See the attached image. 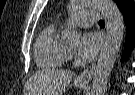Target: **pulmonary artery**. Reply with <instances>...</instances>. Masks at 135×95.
Wrapping results in <instances>:
<instances>
[{"instance_id":"pulmonary-artery-1","label":"pulmonary artery","mask_w":135,"mask_h":95,"mask_svg":"<svg viewBox=\"0 0 135 95\" xmlns=\"http://www.w3.org/2000/svg\"><path fill=\"white\" fill-rule=\"evenodd\" d=\"M74 21L78 25L88 26L98 22V13L93 10H81L75 14Z\"/></svg>"}]
</instances>
